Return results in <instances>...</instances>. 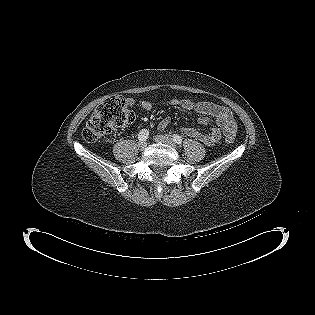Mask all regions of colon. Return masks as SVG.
Here are the masks:
<instances>
[{
    "label": "colon",
    "instance_id": "colon-1",
    "mask_svg": "<svg viewBox=\"0 0 315 315\" xmlns=\"http://www.w3.org/2000/svg\"><path fill=\"white\" fill-rule=\"evenodd\" d=\"M134 115L129 110L127 100L120 95H113L97 106L88 119L82 137L87 142H96L117 128L130 124ZM226 141L234 138L227 135Z\"/></svg>",
    "mask_w": 315,
    "mask_h": 315
}]
</instances>
